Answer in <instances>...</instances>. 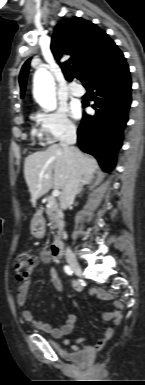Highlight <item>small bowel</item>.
<instances>
[{
    "instance_id": "small-bowel-1",
    "label": "small bowel",
    "mask_w": 145,
    "mask_h": 385,
    "mask_svg": "<svg viewBox=\"0 0 145 385\" xmlns=\"http://www.w3.org/2000/svg\"><path fill=\"white\" fill-rule=\"evenodd\" d=\"M39 259L42 263L49 264L50 262H52L55 259V257L52 256L50 250L43 249V250H40V252H39ZM49 274H50L51 281H52L54 288L57 291L62 292L63 291V285H62L61 280L58 277L56 268H54V267L50 268ZM29 286H30V282L25 281L18 287V290H17L16 300H17L18 306L22 308L23 319L27 322L32 323L39 330L51 334L55 338H62L64 336L68 335L69 333H71V331L73 330V328H74V326L78 320V316L76 314H69L67 316L64 324L61 327L56 328V327H53L52 325H50L49 323L35 319L32 312L25 308L27 298L29 295ZM73 287L77 291H82V289H83V286L79 282H76V281L73 282ZM89 295L99 297L105 301H109V300H112L114 298V296L111 293L105 291L104 289H91L89 291ZM123 308H124L123 303L121 301L117 300L114 302V309L112 311L104 312L100 315V318L102 320L112 321L113 325L107 328L105 334L96 343H94V344L88 343L87 344L88 348L100 349L110 340V338L112 337L113 332H114V327L120 322V320L122 318ZM86 341L87 340L85 338H81V339L77 340L72 345V349L75 351H78L79 345L86 343ZM63 344L69 345L70 339L64 338Z\"/></svg>"
}]
</instances>
